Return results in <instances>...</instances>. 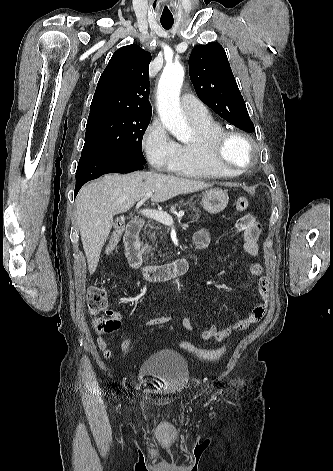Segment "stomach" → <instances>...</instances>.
Wrapping results in <instances>:
<instances>
[{
	"label": "stomach",
	"mask_w": 333,
	"mask_h": 471,
	"mask_svg": "<svg viewBox=\"0 0 333 471\" xmlns=\"http://www.w3.org/2000/svg\"><path fill=\"white\" fill-rule=\"evenodd\" d=\"M229 201L228 194L222 189H211L206 191L202 197L201 205L210 214L222 212Z\"/></svg>",
	"instance_id": "0dacf381"
}]
</instances>
